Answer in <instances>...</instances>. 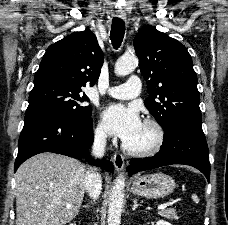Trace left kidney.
Masks as SVG:
<instances>
[{"instance_id": "5707ae66", "label": "left kidney", "mask_w": 228, "mask_h": 225, "mask_svg": "<svg viewBox=\"0 0 228 225\" xmlns=\"http://www.w3.org/2000/svg\"><path fill=\"white\" fill-rule=\"evenodd\" d=\"M156 225H170L167 221H157Z\"/></svg>"}]
</instances>
